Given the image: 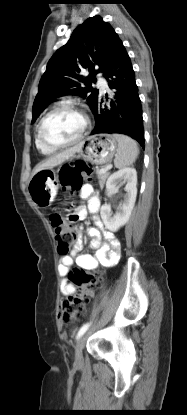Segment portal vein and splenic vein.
I'll list each match as a JSON object with an SVG mask.
<instances>
[{
    "instance_id": "18ae733b",
    "label": "portal vein and splenic vein",
    "mask_w": 187,
    "mask_h": 415,
    "mask_svg": "<svg viewBox=\"0 0 187 415\" xmlns=\"http://www.w3.org/2000/svg\"><path fill=\"white\" fill-rule=\"evenodd\" d=\"M110 168H111V165H109V166H107L105 168H102V169H100L99 173L100 174H104V173L108 172Z\"/></svg>"
}]
</instances>
